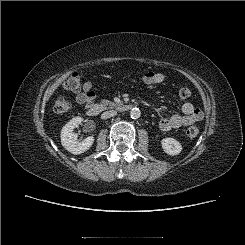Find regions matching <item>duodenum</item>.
I'll return each instance as SVG.
<instances>
[{"label": "duodenum", "mask_w": 245, "mask_h": 245, "mask_svg": "<svg viewBox=\"0 0 245 245\" xmlns=\"http://www.w3.org/2000/svg\"><path fill=\"white\" fill-rule=\"evenodd\" d=\"M132 105L127 103V104H120L117 106V110L121 113L124 112H128L129 110L132 109ZM102 107L98 104L95 103H90L89 105H87L86 107V113L88 116L90 117H95L97 115H99V113L101 112Z\"/></svg>", "instance_id": "obj_1"}]
</instances>
